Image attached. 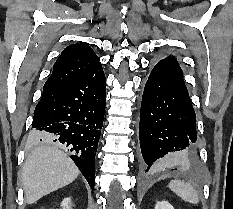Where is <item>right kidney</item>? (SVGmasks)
I'll return each mask as SVG.
<instances>
[{"label":"right kidney","instance_id":"obj_1","mask_svg":"<svg viewBox=\"0 0 233 209\" xmlns=\"http://www.w3.org/2000/svg\"><path fill=\"white\" fill-rule=\"evenodd\" d=\"M62 209H71V199L65 198L61 203Z\"/></svg>","mask_w":233,"mask_h":209}]
</instances>
